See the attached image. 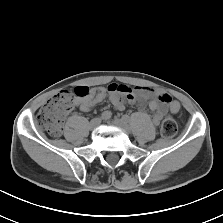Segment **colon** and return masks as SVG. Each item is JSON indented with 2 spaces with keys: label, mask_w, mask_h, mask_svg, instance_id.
I'll use <instances>...</instances> for the list:
<instances>
[{
  "label": "colon",
  "mask_w": 223,
  "mask_h": 223,
  "mask_svg": "<svg viewBox=\"0 0 223 223\" xmlns=\"http://www.w3.org/2000/svg\"><path fill=\"white\" fill-rule=\"evenodd\" d=\"M90 95V88L78 86L74 91L63 90L52 96L36 115V123L51 137L58 138L63 129L66 115L75 105L76 98L84 99ZM177 124L174 118L166 117L161 124V134L166 139L176 135Z\"/></svg>",
  "instance_id": "obj_1"
}]
</instances>
